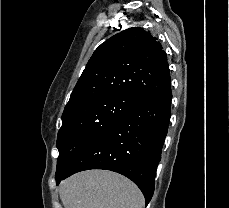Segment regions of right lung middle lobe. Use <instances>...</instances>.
Returning <instances> with one entry per match:
<instances>
[{"instance_id": "obj_1", "label": "right lung middle lobe", "mask_w": 229, "mask_h": 208, "mask_svg": "<svg viewBox=\"0 0 229 208\" xmlns=\"http://www.w3.org/2000/svg\"><path fill=\"white\" fill-rule=\"evenodd\" d=\"M140 101L119 94L99 96L62 115L58 132L56 177L66 172L78 154L96 137L133 110Z\"/></svg>"}]
</instances>
